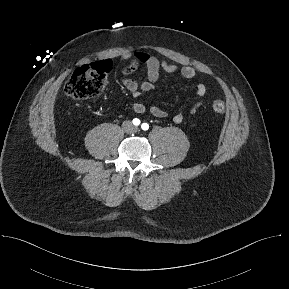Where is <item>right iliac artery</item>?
Returning a JSON list of instances; mask_svg holds the SVG:
<instances>
[{
    "mask_svg": "<svg viewBox=\"0 0 289 289\" xmlns=\"http://www.w3.org/2000/svg\"><path fill=\"white\" fill-rule=\"evenodd\" d=\"M132 122H133V124H134L135 126L140 125V120H139L138 118L133 119Z\"/></svg>",
    "mask_w": 289,
    "mask_h": 289,
    "instance_id": "1",
    "label": "right iliac artery"
}]
</instances>
